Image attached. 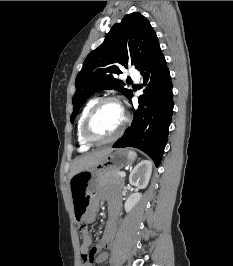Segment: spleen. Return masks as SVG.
<instances>
[{
  "label": "spleen",
  "mask_w": 233,
  "mask_h": 266,
  "mask_svg": "<svg viewBox=\"0 0 233 266\" xmlns=\"http://www.w3.org/2000/svg\"><path fill=\"white\" fill-rule=\"evenodd\" d=\"M129 153H130V155H131V157H132L133 159L136 158V156H137L136 152H134V151H129Z\"/></svg>",
  "instance_id": "obj_1"
}]
</instances>
